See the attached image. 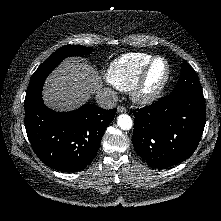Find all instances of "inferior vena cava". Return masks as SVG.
I'll return each instance as SVG.
<instances>
[{"label":"inferior vena cava","mask_w":221,"mask_h":221,"mask_svg":"<svg viewBox=\"0 0 221 221\" xmlns=\"http://www.w3.org/2000/svg\"><path fill=\"white\" fill-rule=\"evenodd\" d=\"M118 97L110 88H102L96 94V102L103 109H112L116 106Z\"/></svg>","instance_id":"1"}]
</instances>
